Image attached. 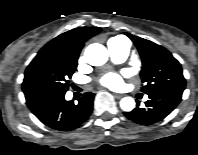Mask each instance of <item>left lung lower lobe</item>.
I'll list each match as a JSON object with an SVG mask.
<instances>
[{
    "mask_svg": "<svg viewBox=\"0 0 198 155\" xmlns=\"http://www.w3.org/2000/svg\"><path fill=\"white\" fill-rule=\"evenodd\" d=\"M148 96L149 100L145 102L144 108L138 107V104L133 111L125 112V116L136 123L151 125L170 114L182 98V94L171 92H159Z\"/></svg>",
    "mask_w": 198,
    "mask_h": 155,
    "instance_id": "obj_1",
    "label": "left lung lower lobe"
}]
</instances>
